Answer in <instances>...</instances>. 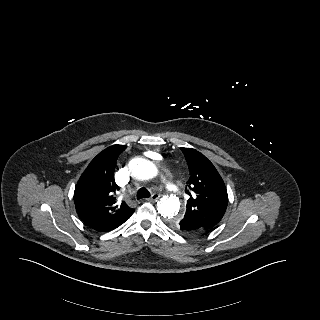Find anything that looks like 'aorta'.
Returning a JSON list of instances; mask_svg holds the SVG:
<instances>
[{
    "label": "aorta",
    "instance_id": "obj_1",
    "mask_svg": "<svg viewBox=\"0 0 320 320\" xmlns=\"http://www.w3.org/2000/svg\"><path fill=\"white\" fill-rule=\"evenodd\" d=\"M129 169L132 176L137 180H150L158 175L157 166L145 157L132 159L129 163ZM157 210L162 217L172 221L180 210V201L174 195L165 196L157 203Z\"/></svg>",
    "mask_w": 320,
    "mask_h": 320
}]
</instances>
